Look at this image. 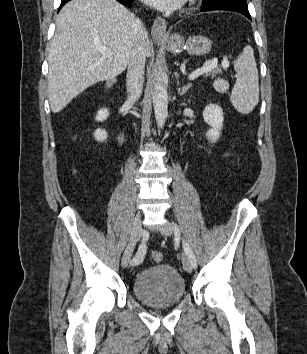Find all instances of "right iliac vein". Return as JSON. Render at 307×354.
Returning <instances> with one entry per match:
<instances>
[{
	"label": "right iliac vein",
	"instance_id": "right-iliac-vein-1",
	"mask_svg": "<svg viewBox=\"0 0 307 354\" xmlns=\"http://www.w3.org/2000/svg\"><path fill=\"white\" fill-rule=\"evenodd\" d=\"M141 236H142L141 215L140 213H137L132 223L129 243L121 259V264L123 268H126L128 266L133 250L137 242L140 240Z\"/></svg>",
	"mask_w": 307,
	"mask_h": 354
}]
</instances>
